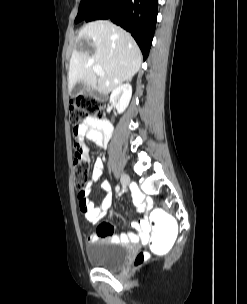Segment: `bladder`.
<instances>
[{
    "label": "bladder",
    "mask_w": 247,
    "mask_h": 304,
    "mask_svg": "<svg viewBox=\"0 0 247 304\" xmlns=\"http://www.w3.org/2000/svg\"><path fill=\"white\" fill-rule=\"evenodd\" d=\"M129 247L109 239H101L86 247V256L91 265L105 270L121 268L128 256Z\"/></svg>",
    "instance_id": "1"
}]
</instances>
